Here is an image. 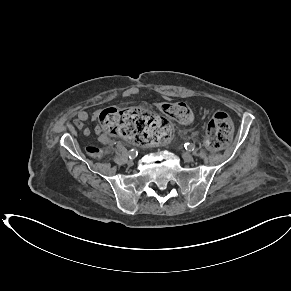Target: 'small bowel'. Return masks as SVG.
<instances>
[{"mask_svg": "<svg viewBox=\"0 0 291 291\" xmlns=\"http://www.w3.org/2000/svg\"><path fill=\"white\" fill-rule=\"evenodd\" d=\"M89 113L87 111L81 110L77 113L76 119L74 120V126L82 130L84 136H90L91 130L87 127H84V123L89 119ZM95 132L97 134V141L103 145H110L112 143L111 138L100 131L98 127L95 128ZM94 147V146H89Z\"/></svg>", "mask_w": 291, "mask_h": 291, "instance_id": "1", "label": "small bowel"}]
</instances>
